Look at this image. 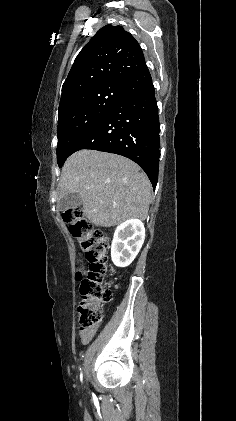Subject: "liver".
<instances>
[{"label": "liver", "mask_w": 236, "mask_h": 421, "mask_svg": "<svg viewBox=\"0 0 236 421\" xmlns=\"http://www.w3.org/2000/svg\"><path fill=\"white\" fill-rule=\"evenodd\" d=\"M57 200L78 192L83 213L97 227H116L129 219L145 221L151 182L140 166L121 154L77 150L62 166Z\"/></svg>", "instance_id": "6515ba94"}]
</instances>
